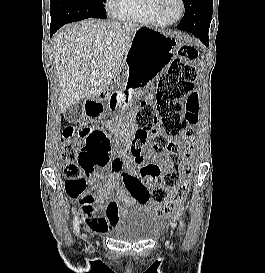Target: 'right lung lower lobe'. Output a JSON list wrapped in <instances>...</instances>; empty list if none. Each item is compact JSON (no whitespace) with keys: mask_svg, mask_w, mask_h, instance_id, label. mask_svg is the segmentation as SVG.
<instances>
[{"mask_svg":"<svg viewBox=\"0 0 265 273\" xmlns=\"http://www.w3.org/2000/svg\"><path fill=\"white\" fill-rule=\"evenodd\" d=\"M57 29H59V28H58V27H51V28H50L51 36H52V34H53L54 32L57 31Z\"/></svg>","mask_w":265,"mask_h":273,"instance_id":"right-lung-lower-lobe-1","label":"right lung lower lobe"}]
</instances>
